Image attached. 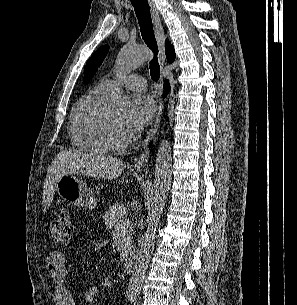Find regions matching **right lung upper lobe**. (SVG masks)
<instances>
[{"mask_svg": "<svg viewBox=\"0 0 297 305\" xmlns=\"http://www.w3.org/2000/svg\"><path fill=\"white\" fill-rule=\"evenodd\" d=\"M165 53L168 62L172 63L175 60V51L173 45L168 40L165 41Z\"/></svg>", "mask_w": 297, "mask_h": 305, "instance_id": "1", "label": "right lung upper lobe"}]
</instances>
